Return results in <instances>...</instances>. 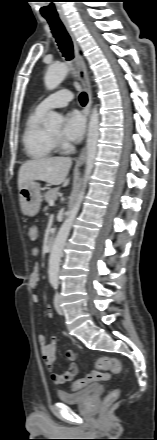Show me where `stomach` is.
<instances>
[{
    "instance_id": "0dacf381",
    "label": "stomach",
    "mask_w": 157,
    "mask_h": 440,
    "mask_svg": "<svg viewBox=\"0 0 157 440\" xmlns=\"http://www.w3.org/2000/svg\"><path fill=\"white\" fill-rule=\"evenodd\" d=\"M19 202L22 212L28 216H35L41 206L40 185L31 182L19 189Z\"/></svg>"
}]
</instances>
